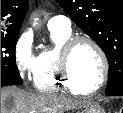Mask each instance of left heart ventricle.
Returning a JSON list of instances; mask_svg holds the SVG:
<instances>
[{
	"instance_id": "b2bd125f",
	"label": "left heart ventricle",
	"mask_w": 123,
	"mask_h": 113,
	"mask_svg": "<svg viewBox=\"0 0 123 113\" xmlns=\"http://www.w3.org/2000/svg\"><path fill=\"white\" fill-rule=\"evenodd\" d=\"M70 71L74 83L86 90L93 89L101 77V60L96 50L88 43H81L75 49Z\"/></svg>"
}]
</instances>
